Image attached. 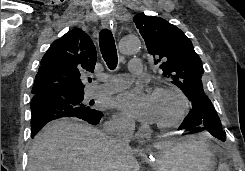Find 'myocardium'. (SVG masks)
Masks as SVG:
<instances>
[{
	"mask_svg": "<svg viewBox=\"0 0 245 171\" xmlns=\"http://www.w3.org/2000/svg\"><path fill=\"white\" fill-rule=\"evenodd\" d=\"M171 94L176 97L179 108L176 114L166 122H157L156 127L159 129H169L179 124L186 116L189 109V101L184 92L176 86H159L153 90V95Z\"/></svg>",
	"mask_w": 245,
	"mask_h": 171,
	"instance_id": "f54148a6",
	"label": "myocardium"
}]
</instances>
